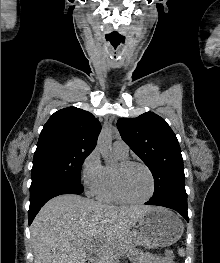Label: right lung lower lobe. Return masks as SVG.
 Segmentation results:
<instances>
[{"instance_id": "98d812e1", "label": "right lung lower lobe", "mask_w": 220, "mask_h": 263, "mask_svg": "<svg viewBox=\"0 0 220 263\" xmlns=\"http://www.w3.org/2000/svg\"><path fill=\"white\" fill-rule=\"evenodd\" d=\"M81 183L57 177H39L32 180L30 186L29 225L40 208L51 198L61 194H80Z\"/></svg>"}]
</instances>
